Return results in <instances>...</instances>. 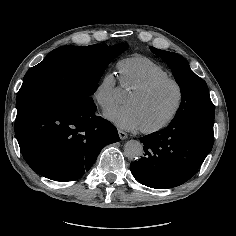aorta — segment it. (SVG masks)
Listing matches in <instances>:
<instances>
[{
  "label": "aorta",
  "instance_id": "1",
  "mask_svg": "<svg viewBox=\"0 0 236 236\" xmlns=\"http://www.w3.org/2000/svg\"><path fill=\"white\" fill-rule=\"evenodd\" d=\"M143 145L137 140H129L125 143L124 154L130 160H138L143 155Z\"/></svg>",
  "mask_w": 236,
  "mask_h": 236
}]
</instances>
